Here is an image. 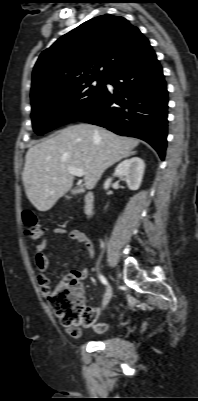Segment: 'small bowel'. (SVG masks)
Masks as SVG:
<instances>
[{
	"mask_svg": "<svg viewBox=\"0 0 198 401\" xmlns=\"http://www.w3.org/2000/svg\"><path fill=\"white\" fill-rule=\"evenodd\" d=\"M54 235H63L66 233V230L60 227L54 228L52 230ZM68 239L74 242L79 243L89 254L92 258L94 255V247L91 239L89 236L78 229H72L67 233ZM49 243L48 241H43L36 247V255H35V266L37 270V281L39 284L40 289L45 293L48 294L50 291V280L46 277L45 271L49 265V258L47 255ZM89 275V269L84 268L76 272V276L80 279H85ZM107 302L104 298L103 305H106ZM100 308L93 309L94 314L96 315L99 312ZM94 328L98 332H102L105 329V325L102 323H98L94 325Z\"/></svg>",
	"mask_w": 198,
	"mask_h": 401,
	"instance_id": "1",
	"label": "small bowel"
}]
</instances>
